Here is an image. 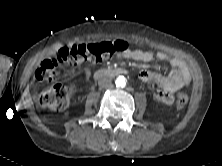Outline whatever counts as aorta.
I'll return each mask as SVG.
<instances>
[{
	"instance_id": "1",
	"label": "aorta",
	"mask_w": 222,
	"mask_h": 166,
	"mask_svg": "<svg viewBox=\"0 0 222 166\" xmlns=\"http://www.w3.org/2000/svg\"><path fill=\"white\" fill-rule=\"evenodd\" d=\"M116 86L117 87H125L126 86V78L124 76H119L116 79Z\"/></svg>"
}]
</instances>
